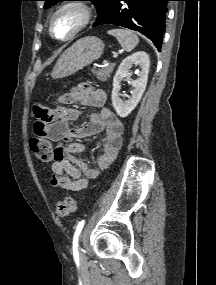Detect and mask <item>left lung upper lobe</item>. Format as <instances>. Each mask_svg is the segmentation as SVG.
Segmentation results:
<instances>
[{
	"label": "left lung upper lobe",
	"instance_id": "left-lung-upper-lobe-1",
	"mask_svg": "<svg viewBox=\"0 0 216 285\" xmlns=\"http://www.w3.org/2000/svg\"><path fill=\"white\" fill-rule=\"evenodd\" d=\"M45 1L44 8H49L52 5H55L58 1H64V0H42ZM91 1L97 8V20H100L106 12L110 9L112 3L114 0H86Z\"/></svg>",
	"mask_w": 216,
	"mask_h": 285
}]
</instances>
